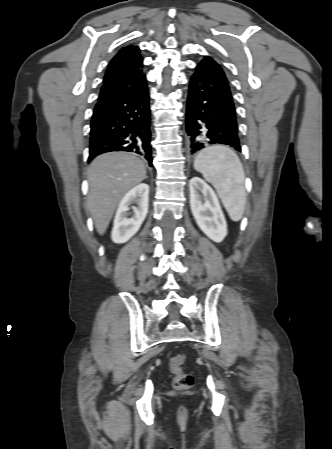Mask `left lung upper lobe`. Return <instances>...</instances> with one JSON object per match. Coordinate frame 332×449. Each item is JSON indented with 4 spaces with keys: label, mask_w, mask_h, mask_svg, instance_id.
Wrapping results in <instances>:
<instances>
[{
    "label": "left lung upper lobe",
    "mask_w": 332,
    "mask_h": 449,
    "mask_svg": "<svg viewBox=\"0 0 332 449\" xmlns=\"http://www.w3.org/2000/svg\"><path fill=\"white\" fill-rule=\"evenodd\" d=\"M202 61H209V62H213L216 63L213 59H211L210 57H205ZM217 64V63H216Z\"/></svg>",
    "instance_id": "obj_1"
}]
</instances>
